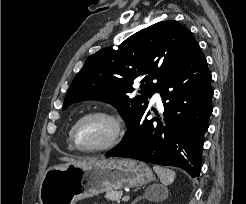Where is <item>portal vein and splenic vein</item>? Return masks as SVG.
<instances>
[{"label":"portal vein and splenic vein","mask_w":246,"mask_h":204,"mask_svg":"<svg viewBox=\"0 0 246 204\" xmlns=\"http://www.w3.org/2000/svg\"><path fill=\"white\" fill-rule=\"evenodd\" d=\"M129 199H130L129 196H124V197L122 198L123 201H128Z\"/></svg>","instance_id":"1"}]
</instances>
